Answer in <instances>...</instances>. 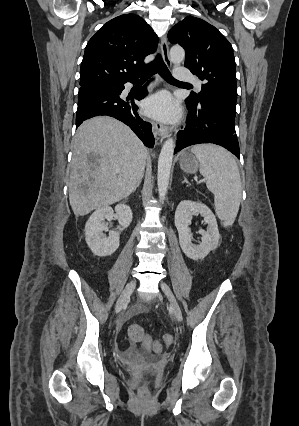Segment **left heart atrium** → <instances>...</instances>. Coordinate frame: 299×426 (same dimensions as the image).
I'll list each match as a JSON object with an SVG mask.
<instances>
[{
  "instance_id": "left-heart-atrium-1",
  "label": "left heart atrium",
  "mask_w": 299,
  "mask_h": 426,
  "mask_svg": "<svg viewBox=\"0 0 299 426\" xmlns=\"http://www.w3.org/2000/svg\"><path fill=\"white\" fill-rule=\"evenodd\" d=\"M144 110L149 116L165 122H172L179 116L178 104L168 92H159L147 99Z\"/></svg>"
}]
</instances>
